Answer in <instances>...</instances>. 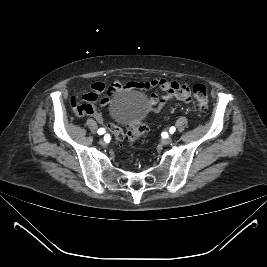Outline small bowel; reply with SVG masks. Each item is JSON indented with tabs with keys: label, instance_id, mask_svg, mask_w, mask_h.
I'll list each match as a JSON object with an SVG mask.
<instances>
[{
	"label": "small bowel",
	"instance_id": "small-bowel-1",
	"mask_svg": "<svg viewBox=\"0 0 267 267\" xmlns=\"http://www.w3.org/2000/svg\"><path fill=\"white\" fill-rule=\"evenodd\" d=\"M151 88H160L161 90L167 92L166 95H160L158 93H152L150 95L149 99L147 100V108L152 112H160L169 99H177L184 103H188L191 99L190 89L187 85L178 83L176 81L156 78L141 82L130 81L124 84L114 81L109 85H106L102 82H95L91 85V91L82 95V100L84 103L78 104L76 98L73 97L72 106L78 116L90 115L93 116L97 121L101 122L102 115L93 105L97 101L100 94H107V97L101 100L102 105H107L110 103V97L120 90H146Z\"/></svg>",
	"mask_w": 267,
	"mask_h": 267
}]
</instances>
